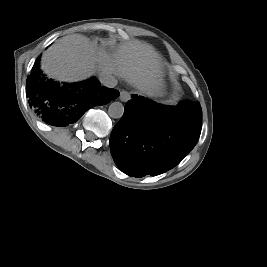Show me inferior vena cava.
Returning <instances> with one entry per match:
<instances>
[{"label": "inferior vena cava", "instance_id": "1", "mask_svg": "<svg viewBox=\"0 0 267 267\" xmlns=\"http://www.w3.org/2000/svg\"><path fill=\"white\" fill-rule=\"evenodd\" d=\"M99 81L101 82L102 85L109 88H113L117 85V79L113 75L107 72H102L99 75Z\"/></svg>", "mask_w": 267, "mask_h": 267}]
</instances>
